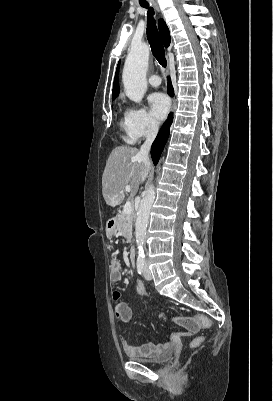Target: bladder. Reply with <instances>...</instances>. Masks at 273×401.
Wrapping results in <instances>:
<instances>
[{
    "mask_svg": "<svg viewBox=\"0 0 273 401\" xmlns=\"http://www.w3.org/2000/svg\"><path fill=\"white\" fill-rule=\"evenodd\" d=\"M173 354H174L173 349L168 348L165 351H163L160 355H158L157 357L151 358V359H145V358H140V357H136V356H129V357L131 360L136 361V362L159 366V365H164L167 362H169L172 359Z\"/></svg>",
    "mask_w": 273,
    "mask_h": 401,
    "instance_id": "1",
    "label": "bladder"
}]
</instances>
